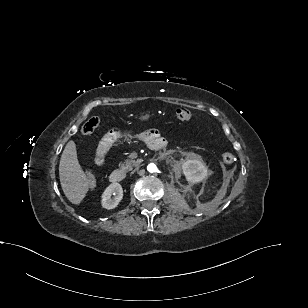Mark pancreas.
<instances>
[{"label": "pancreas", "mask_w": 308, "mask_h": 308, "mask_svg": "<svg viewBox=\"0 0 308 308\" xmlns=\"http://www.w3.org/2000/svg\"><path fill=\"white\" fill-rule=\"evenodd\" d=\"M140 164V160L128 159L125 162L120 164V168L125 171H130L134 167H138Z\"/></svg>", "instance_id": "obj_1"}]
</instances>
